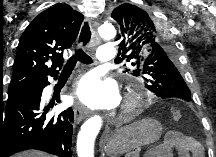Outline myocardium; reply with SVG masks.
Returning <instances> with one entry per match:
<instances>
[{"instance_id": "f54148a6", "label": "myocardium", "mask_w": 216, "mask_h": 157, "mask_svg": "<svg viewBox=\"0 0 216 157\" xmlns=\"http://www.w3.org/2000/svg\"><path fill=\"white\" fill-rule=\"evenodd\" d=\"M139 106L138 98L132 94L127 97V100L124 104V114L130 115L132 114Z\"/></svg>"}]
</instances>
